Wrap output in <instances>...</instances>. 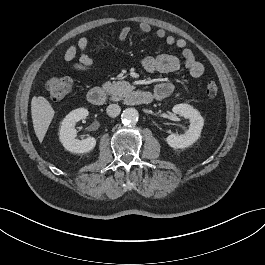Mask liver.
<instances>
[{
  "mask_svg": "<svg viewBox=\"0 0 265 265\" xmlns=\"http://www.w3.org/2000/svg\"><path fill=\"white\" fill-rule=\"evenodd\" d=\"M55 111L49 101L42 97L34 96L31 101V115L35 134L41 143L54 117Z\"/></svg>",
  "mask_w": 265,
  "mask_h": 265,
  "instance_id": "liver-1",
  "label": "liver"
}]
</instances>
